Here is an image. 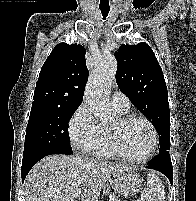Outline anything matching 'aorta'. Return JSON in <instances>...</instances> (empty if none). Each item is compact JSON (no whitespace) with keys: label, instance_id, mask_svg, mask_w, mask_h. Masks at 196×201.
I'll return each instance as SVG.
<instances>
[{"label":"aorta","instance_id":"aorta-1","mask_svg":"<svg viewBox=\"0 0 196 201\" xmlns=\"http://www.w3.org/2000/svg\"><path fill=\"white\" fill-rule=\"evenodd\" d=\"M117 61L113 56L102 58L96 63L86 86L84 100L93 115L107 123L115 117L110 103V89L115 80Z\"/></svg>","mask_w":196,"mask_h":201}]
</instances>
